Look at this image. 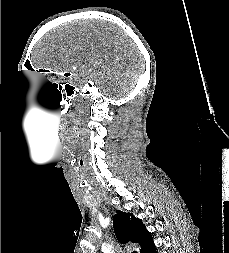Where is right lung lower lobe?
<instances>
[{
  "instance_id": "98d812e1",
  "label": "right lung lower lobe",
  "mask_w": 229,
  "mask_h": 253,
  "mask_svg": "<svg viewBox=\"0 0 229 253\" xmlns=\"http://www.w3.org/2000/svg\"><path fill=\"white\" fill-rule=\"evenodd\" d=\"M143 253H157L155 251V246L153 245V243L145 251H143Z\"/></svg>"
}]
</instances>
